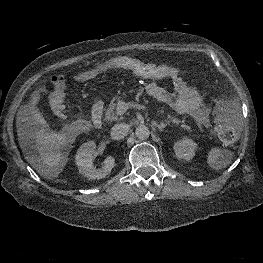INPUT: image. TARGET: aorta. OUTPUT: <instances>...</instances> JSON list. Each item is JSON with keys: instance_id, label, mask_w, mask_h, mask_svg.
<instances>
[{"instance_id": "1", "label": "aorta", "mask_w": 263, "mask_h": 263, "mask_svg": "<svg viewBox=\"0 0 263 263\" xmlns=\"http://www.w3.org/2000/svg\"><path fill=\"white\" fill-rule=\"evenodd\" d=\"M135 135L140 140H145L150 136V130L145 125H140L135 130Z\"/></svg>"}]
</instances>
